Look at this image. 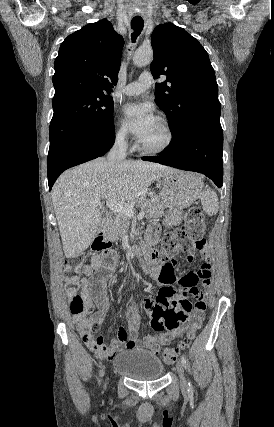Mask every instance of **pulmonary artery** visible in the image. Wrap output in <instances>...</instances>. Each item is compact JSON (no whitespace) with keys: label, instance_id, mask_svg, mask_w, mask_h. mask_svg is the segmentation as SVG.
<instances>
[{"label":"pulmonary artery","instance_id":"obj_1","mask_svg":"<svg viewBox=\"0 0 274 427\" xmlns=\"http://www.w3.org/2000/svg\"><path fill=\"white\" fill-rule=\"evenodd\" d=\"M153 84V78L148 72H143L137 81L127 84L123 93L127 96H135L144 93Z\"/></svg>","mask_w":274,"mask_h":427}]
</instances>
